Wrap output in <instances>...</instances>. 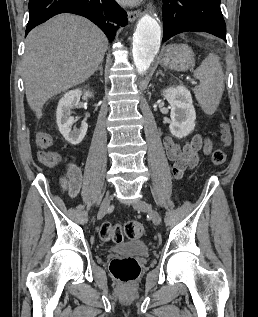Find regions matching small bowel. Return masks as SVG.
I'll return each mask as SVG.
<instances>
[{
  "label": "small bowel",
  "mask_w": 258,
  "mask_h": 317,
  "mask_svg": "<svg viewBox=\"0 0 258 317\" xmlns=\"http://www.w3.org/2000/svg\"><path fill=\"white\" fill-rule=\"evenodd\" d=\"M36 144L40 150H48L53 144V137L47 131L36 135ZM163 146L166 155L173 162V176L181 179L184 173L196 167L202 154L209 155L213 149L211 139L202 135H194L184 143L175 141L171 136H165ZM66 174L61 180L62 189L70 196L76 197L82 185L81 169L74 163L66 164Z\"/></svg>",
  "instance_id": "c3829d8e"
}]
</instances>
